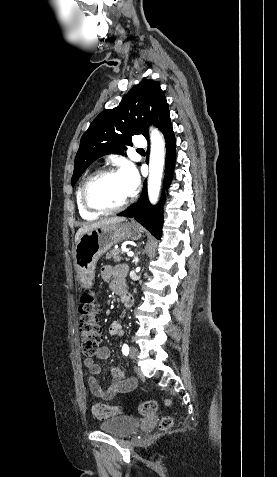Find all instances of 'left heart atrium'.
Here are the masks:
<instances>
[{
    "label": "left heart atrium",
    "instance_id": "left-heart-atrium-1",
    "mask_svg": "<svg viewBox=\"0 0 277 477\" xmlns=\"http://www.w3.org/2000/svg\"><path fill=\"white\" fill-rule=\"evenodd\" d=\"M119 174L124 183L128 196L133 195L140 183L139 174L136 168L132 164L127 163L122 166Z\"/></svg>",
    "mask_w": 277,
    "mask_h": 477
}]
</instances>
